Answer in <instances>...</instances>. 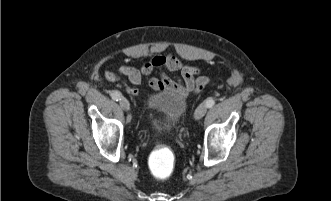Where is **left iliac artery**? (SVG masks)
<instances>
[{
	"instance_id": "left-iliac-artery-1",
	"label": "left iliac artery",
	"mask_w": 331,
	"mask_h": 201,
	"mask_svg": "<svg viewBox=\"0 0 331 201\" xmlns=\"http://www.w3.org/2000/svg\"><path fill=\"white\" fill-rule=\"evenodd\" d=\"M214 104H215V101L211 98L207 99L206 102H205V105H206L207 108L213 107Z\"/></svg>"
}]
</instances>
